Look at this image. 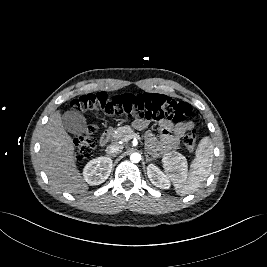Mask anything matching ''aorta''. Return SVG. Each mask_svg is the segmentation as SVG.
<instances>
[{
    "instance_id": "aorta-1",
    "label": "aorta",
    "mask_w": 267,
    "mask_h": 267,
    "mask_svg": "<svg viewBox=\"0 0 267 267\" xmlns=\"http://www.w3.org/2000/svg\"><path fill=\"white\" fill-rule=\"evenodd\" d=\"M130 160L133 162V163H138L140 160H141V155L139 153H132L130 155Z\"/></svg>"
}]
</instances>
